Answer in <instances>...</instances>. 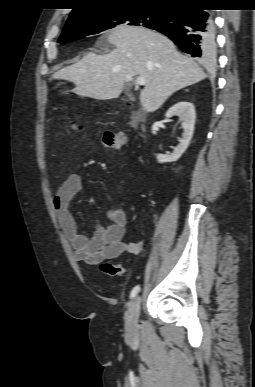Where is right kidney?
Returning a JSON list of instances; mask_svg holds the SVG:
<instances>
[{
    "label": "right kidney",
    "mask_w": 255,
    "mask_h": 387,
    "mask_svg": "<svg viewBox=\"0 0 255 387\" xmlns=\"http://www.w3.org/2000/svg\"><path fill=\"white\" fill-rule=\"evenodd\" d=\"M175 115L179 116L180 121H182V139L171 154H157L156 158L159 163L177 161L186 151L192 139L196 118L194 105L186 101L176 103L166 112L165 116L170 118Z\"/></svg>",
    "instance_id": "right-kidney-1"
}]
</instances>
